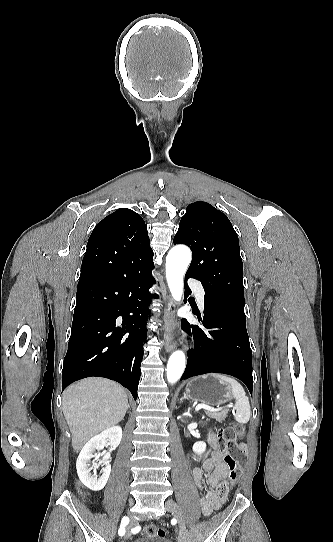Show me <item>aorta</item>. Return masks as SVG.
<instances>
[{
    "label": "aorta",
    "instance_id": "obj_1",
    "mask_svg": "<svg viewBox=\"0 0 333 542\" xmlns=\"http://www.w3.org/2000/svg\"><path fill=\"white\" fill-rule=\"evenodd\" d=\"M191 262V252L187 246H174L166 258V280L171 296L180 302L183 296V278ZM186 368L184 352L176 350L171 354L166 370L169 384H176Z\"/></svg>",
    "mask_w": 333,
    "mask_h": 542
}]
</instances>
